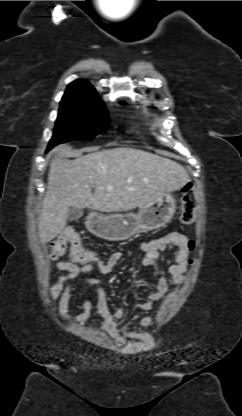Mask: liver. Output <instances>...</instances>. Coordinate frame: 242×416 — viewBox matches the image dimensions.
Here are the masks:
<instances>
[{
    "instance_id": "6515ba94",
    "label": "liver",
    "mask_w": 242,
    "mask_h": 416,
    "mask_svg": "<svg viewBox=\"0 0 242 416\" xmlns=\"http://www.w3.org/2000/svg\"><path fill=\"white\" fill-rule=\"evenodd\" d=\"M189 181L177 162L134 148L94 151L74 160L64 158L60 151L50 163L39 239L48 243L62 232L71 206L102 212L142 209Z\"/></svg>"
}]
</instances>
